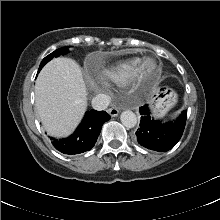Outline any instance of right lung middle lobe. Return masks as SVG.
I'll return each instance as SVG.
<instances>
[{
  "mask_svg": "<svg viewBox=\"0 0 220 220\" xmlns=\"http://www.w3.org/2000/svg\"><path fill=\"white\" fill-rule=\"evenodd\" d=\"M68 52V47H62L60 49L55 50L54 52H52L51 54H49L48 56H46L39 67V71L41 70V68L47 63L49 62L53 57H58L59 55H63L66 54Z\"/></svg>",
  "mask_w": 220,
  "mask_h": 220,
  "instance_id": "dd1d6c3e",
  "label": "right lung middle lobe"
}]
</instances>
